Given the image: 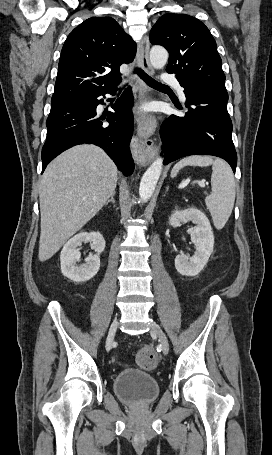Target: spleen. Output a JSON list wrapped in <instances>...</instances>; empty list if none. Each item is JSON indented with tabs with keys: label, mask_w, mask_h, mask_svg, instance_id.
I'll list each match as a JSON object with an SVG mask.
<instances>
[{
	"label": "spleen",
	"mask_w": 272,
	"mask_h": 455,
	"mask_svg": "<svg viewBox=\"0 0 272 455\" xmlns=\"http://www.w3.org/2000/svg\"><path fill=\"white\" fill-rule=\"evenodd\" d=\"M187 165L201 167L212 165V193L205 198V203L214 226L222 229L232 213L235 202V180L230 166L222 159L214 160L209 156L193 155L176 163L171 171V177H175L179 170Z\"/></svg>",
	"instance_id": "1"
}]
</instances>
